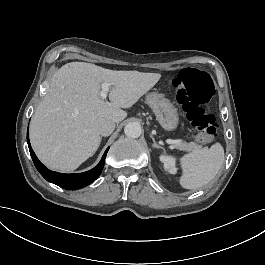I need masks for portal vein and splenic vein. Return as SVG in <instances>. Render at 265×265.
Wrapping results in <instances>:
<instances>
[{"mask_svg":"<svg viewBox=\"0 0 265 265\" xmlns=\"http://www.w3.org/2000/svg\"><path fill=\"white\" fill-rule=\"evenodd\" d=\"M110 84L105 82L102 84V89H101V97L103 99H106L107 96H108V93L110 91V88H109ZM181 142H183V139H175V140H168V143L169 144H180Z\"/></svg>","mask_w":265,"mask_h":265,"instance_id":"1","label":"portal vein and splenic vein"}]
</instances>
